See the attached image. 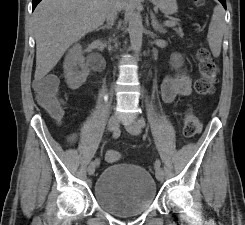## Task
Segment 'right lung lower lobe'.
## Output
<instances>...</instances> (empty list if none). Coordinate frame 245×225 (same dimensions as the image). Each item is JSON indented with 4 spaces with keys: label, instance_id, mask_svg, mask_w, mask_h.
Segmentation results:
<instances>
[{
    "label": "right lung lower lobe",
    "instance_id": "right-lung-lower-lobe-1",
    "mask_svg": "<svg viewBox=\"0 0 245 225\" xmlns=\"http://www.w3.org/2000/svg\"><path fill=\"white\" fill-rule=\"evenodd\" d=\"M41 0H33L32 1V9L34 10L35 7L37 6V4L40 2Z\"/></svg>",
    "mask_w": 245,
    "mask_h": 225
}]
</instances>
